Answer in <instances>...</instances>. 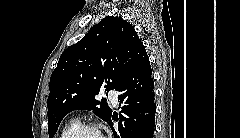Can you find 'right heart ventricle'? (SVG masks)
Here are the masks:
<instances>
[{"label": "right heart ventricle", "instance_id": "e07e8e85", "mask_svg": "<svg viewBox=\"0 0 240 138\" xmlns=\"http://www.w3.org/2000/svg\"><path fill=\"white\" fill-rule=\"evenodd\" d=\"M78 126L77 121L69 122L63 129L60 138H68L69 134Z\"/></svg>", "mask_w": 240, "mask_h": 138}]
</instances>
